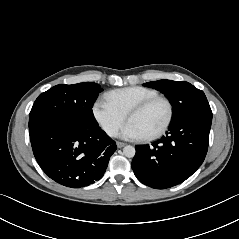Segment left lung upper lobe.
I'll return each mask as SVG.
<instances>
[{"label":"left lung upper lobe","mask_w":239,"mask_h":239,"mask_svg":"<svg viewBox=\"0 0 239 239\" xmlns=\"http://www.w3.org/2000/svg\"><path fill=\"white\" fill-rule=\"evenodd\" d=\"M144 86L161 91L173 106L174 122L193 113H209L211 108L203 91L185 81L158 80L147 82Z\"/></svg>","instance_id":"1"}]
</instances>
